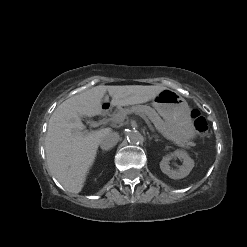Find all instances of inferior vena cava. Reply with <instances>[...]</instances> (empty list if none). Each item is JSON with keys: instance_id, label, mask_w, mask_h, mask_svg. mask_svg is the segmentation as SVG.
<instances>
[{"instance_id": "obj_1", "label": "inferior vena cava", "mask_w": 247, "mask_h": 247, "mask_svg": "<svg viewBox=\"0 0 247 247\" xmlns=\"http://www.w3.org/2000/svg\"><path fill=\"white\" fill-rule=\"evenodd\" d=\"M119 141V134L117 132H107L100 139V147L103 150L113 148Z\"/></svg>"}]
</instances>
